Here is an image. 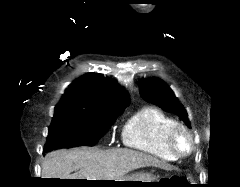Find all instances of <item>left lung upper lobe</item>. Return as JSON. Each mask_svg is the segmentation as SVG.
I'll use <instances>...</instances> for the list:
<instances>
[{"label":"left lung upper lobe","mask_w":240,"mask_h":187,"mask_svg":"<svg viewBox=\"0 0 240 187\" xmlns=\"http://www.w3.org/2000/svg\"><path fill=\"white\" fill-rule=\"evenodd\" d=\"M140 94L147 102L158 105L167 112L174 113L190 127L188 115L171 88L163 81L152 78L140 82Z\"/></svg>","instance_id":"1"}]
</instances>
